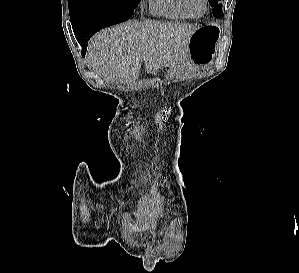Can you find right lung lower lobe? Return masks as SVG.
<instances>
[{"mask_svg":"<svg viewBox=\"0 0 299 273\" xmlns=\"http://www.w3.org/2000/svg\"><path fill=\"white\" fill-rule=\"evenodd\" d=\"M134 11L104 12L92 16H81L71 20L75 37L82 46V56H85L88 40L97 31L129 19Z\"/></svg>","mask_w":299,"mask_h":273,"instance_id":"1","label":"right lung lower lobe"}]
</instances>
